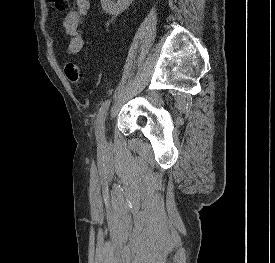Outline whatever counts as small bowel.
<instances>
[{"label": "small bowel", "mask_w": 275, "mask_h": 263, "mask_svg": "<svg viewBox=\"0 0 275 263\" xmlns=\"http://www.w3.org/2000/svg\"><path fill=\"white\" fill-rule=\"evenodd\" d=\"M90 8L89 0H76L75 9L70 11L63 22V27L69 37L67 53L69 55L78 54L83 46L82 19Z\"/></svg>", "instance_id": "small-bowel-1"}]
</instances>
